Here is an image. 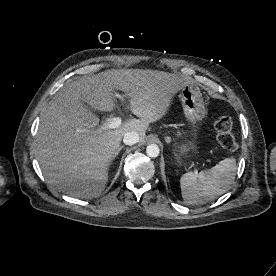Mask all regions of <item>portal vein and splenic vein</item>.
Listing matches in <instances>:
<instances>
[{"mask_svg": "<svg viewBox=\"0 0 276 276\" xmlns=\"http://www.w3.org/2000/svg\"><path fill=\"white\" fill-rule=\"evenodd\" d=\"M121 123H122V120L120 117H114L111 120H109L107 123H105L100 129H98L97 131H93V133L98 134L106 129H116L120 127Z\"/></svg>", "mask_w": 276, "mask_h": 276, "instance_id": "portal-vein-and-splenic-vein-1", "label": "portal vein and splenic vein"}]
</instances>
